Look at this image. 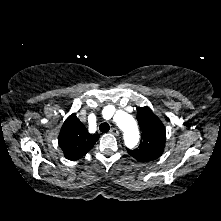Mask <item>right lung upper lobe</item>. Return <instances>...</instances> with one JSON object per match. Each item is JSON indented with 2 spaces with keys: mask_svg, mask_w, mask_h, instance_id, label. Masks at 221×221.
Returning <instances> with one entry per match:
<instances>
[{
  "mask_svg": "<svg viewBox=\"0 0 221 221\" xmlns=\"http://www.w3.org/2000/svg\"><path fill=\"white\" fill-rule=\"evenodd\" d=\"M99 139V135L90 134L79 121L76 114L70 115L64 122L58 142L63 154L68 160H77L84 156Z\"/></svg>",
  "mask_w": 221,
  "mask_h": 221,
  "instance_id": "cb5924a9",
  "label": "right lung upper lobe"
}]
</instances>
